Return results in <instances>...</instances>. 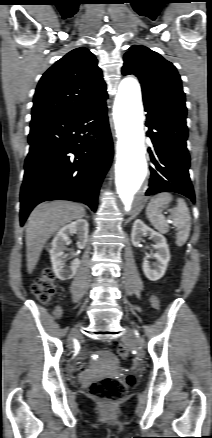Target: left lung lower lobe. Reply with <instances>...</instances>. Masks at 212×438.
<instances>
[{
	"label": "left lung lower lobe",
	"instance_id": "1",
	"mask_svg": "<svg viewBox=\"0 0 212 438\" xmlns=\"http://www.w3.org/2000/svg\"><path fill=\"white\" fill-rule=\"evenodd\" d=\"M146 126L152 148L151 178L146 195L172 191L195 202L189 177L190 156L186 147V116L145 105Z\"/></svg>",
	"mask_w": 212,
	"mask_h": 438
}]
</instances>
